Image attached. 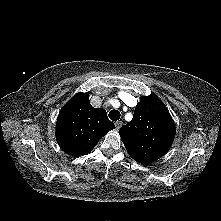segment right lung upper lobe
I'll use <instances>...</instances> for the list:
<instances>
[{"label": "right lung upper lobe", "mask_w": 221, "mask_h": 221, "mask_svg": "<svg viewBox=\"0 0 221 221\" xmlns=\"http://www.w3.org/2000/svg\"><path fill=\"white\" fill-rule=\"evenodd\" d=\"M114 128L104 109L92 107L87 93H77L58 115L56 139L63 151L80 156Z\"/></svg>", "instance_id": "cb5924a9"}]
</instances>
